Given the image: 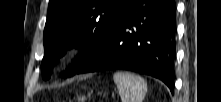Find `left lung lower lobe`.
I'll list each match as a JSON object with an SVG mask.
<instances>
[{
    "label": "left lung lower lobe",
    "instance_id": "obj_1",
    "mask_svg": "<svg viewBox=\"0 0 221 102\" xmlns=\"http://www.w3.org/2000/svg\"><path fill=\"white\" fill-rule=\"evenodd\" d=\"M174 0H128L107 40L76 74L125 69L162 80L173 93Z\"/></svg>",
    "mask_w": 221,
    "mask_h": 102
}]
</instances>
